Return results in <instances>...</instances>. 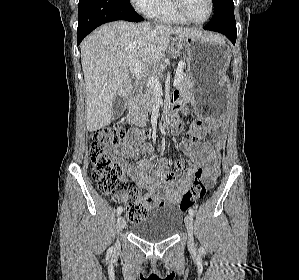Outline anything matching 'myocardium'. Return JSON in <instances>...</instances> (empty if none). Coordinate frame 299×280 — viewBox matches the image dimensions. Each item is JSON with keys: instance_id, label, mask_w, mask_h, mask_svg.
<instances>
[{"instance_id": "1", "label": "myocardium", "mask_w": 299, "mask_h": 280, "mask_svg": "<svg viewBox=\"0 0 299 280\" xmlns=\"http://www.w3.org/2000/svg\"><path fill=\"white\" fill-rule=\"evenodd\" d=\"M171 1H172V5H173V8L176 11V13L182 19H184L186 22L191 23V24H196V25L204 24L211 18L212 14H213V9H214L213 0H208V4H209L208 14L203 20H200V21L193 20L192 18H190L188 16V14L186 13L185 8H184V0H171Z\"/></svg>"}]
</instances>
